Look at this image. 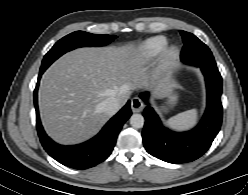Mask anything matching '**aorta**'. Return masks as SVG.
I'll return each instance as SVG.
<instances>
[{
    "label": "aorta",
    "mask_w": 248,
    "mask_h": 195,
    "mask_svg": "<svg viewBox=\"0 0 248 195\" xmlns=\"http://www.w3.org/2000/svg\"><path fill=\"white\" fill-rule=\"evenodd\" d=\"M144 117L141 114H133L130 117V124L133 128H142L144 126Z\"/></svg>",
    "instance_id": "aorta-1"
}]
</instances>
